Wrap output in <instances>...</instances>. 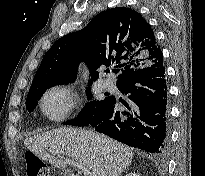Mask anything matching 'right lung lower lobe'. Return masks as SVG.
<instances>
[{
	"label": "right lung lower lobe",
	"instance_id": "1",
	"mask_svg": "<svg viewBox=\"0 0 205 176\" xmlns=\"http://www.w3.org/2000/svg\"><path fill=\"white\" fill-rule=\"evenodd\" d=\"M118 89L128 94L117 109L110 96L87 125L131 147L164 155L169 147L168 85L164 63L151 64L124 76ZM120 101V100H119Z\"/></svg>",
	"mask_w": 205,
	"mask_h": 176
}]
</instances>
